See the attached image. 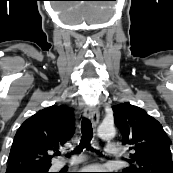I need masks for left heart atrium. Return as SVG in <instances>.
Returning a JSON list of instances; mask_svg holds the SVG:
<instances>
[{
    "mask_svg": "<svg viewBox=\"0 0 173 173\" xmlns=\"http://www.w3.org/2000/svg\"><path fill=\"white\" fill-rule=\"evenodd\" d=\"M83 170H85L84 172L86 173H101L103 171V168L98 165H93L86 167Z\"/></svg>",
    "mask_w": 173,
    "mask_h": 173,
    "instance_id": "39dd6f15",
    "label": "left heart atrium"
}]
</instances>
